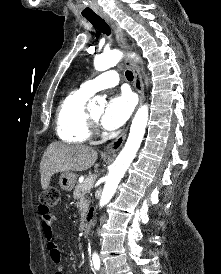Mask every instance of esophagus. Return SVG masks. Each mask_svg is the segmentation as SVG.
I'll list each match as a JSON object with an SVG mask.
<instances>
[{
  "instance_id": "1",
  "label": "esophagus",
  "mask_w": 221,
  "mask_h": 274,
  "mask_svg": "<svg viewBox=\"0 0 221 274\" xmlns=\"http://www.w3.org/2000/svg\"><path fill=\"white\" fill-rule=\"evenodd\" d=\"M101 17L111 26V28L113 29L115 33V36L119 45L121 46V48L124 50L125 53H128L129 47L125 43V35L122 29L120 28V26L118 25V23L106 14H102ZM126 66L133 71L134 87L139 95V106H141L144 101V84L142 81V76L135 62L132 61L131 59L129 58L126 59ZM127 132H128V127L115 140H113L111 143H109L105 147V151L110 154L116 153L122 147L126 139Z\"/></svg>"
}]
</instances>
